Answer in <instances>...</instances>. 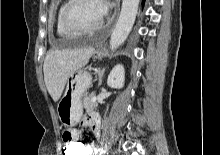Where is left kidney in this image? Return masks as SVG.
<instances>
[{
	"label": "left kidney",
	"instance_id": "obj_1",
	"mask_svg": "<svg viewBox=\"0 0 220 155\" xmlns=\"http://www.w3.org/2000/svg\"><path fill=\"white\" fill-rule=\"evenodd\" d=\"M125 81V70L123 65L118 64L116 65L112 71L110 72L107 84L111 88H122L124 86Z\"/></svg>",
	"mask_w": 220,
	"mask_h": 155
}]
</instances>
